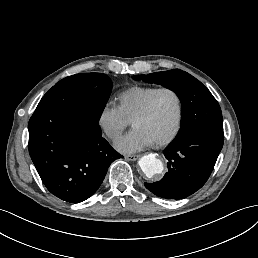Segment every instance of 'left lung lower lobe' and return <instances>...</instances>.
I'll use <instances>...</instances> for the list:
<instances>
[{
  "label": "left lung lower lobe",
  "mask_w": 258,
  "mask_h": 258,
  "mask_svg": "<svg viewBox=\"0 0 258 258\" xmlns=\"http://www.w3.org/2000/svg\"><path fill=\"white\" fill-rule=\"evenodd\" d=\"M224 133L203 130L195 135L171 143L164 151L168 172L159 181L144 183L156 196L183 199L199 190L208 180L223 147Z\"/></svg>",
  "instance_id": "obj_1"
}]
</instances>
